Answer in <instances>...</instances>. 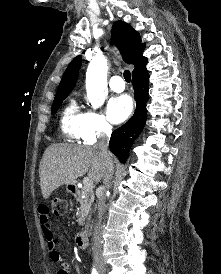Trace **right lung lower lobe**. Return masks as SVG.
Returning a JSON list of instances; mask_svg holds the SVG:
<instances>
[{"mask_svg": "<svg viewBox=\"0 0 221 274\" xmlns=\"http://www.w3.org/2000/svg\"><path fill=\"white\" fill-rule=\"evenodd\" d=\"M132 84L137 103L136 111L126 124L112 133L109 142L110 150L119 157L122 163L126 162L129 155L128 149L145 126L146 102L149 89V74L147 70L133 76Z\"/></svg>", "mask_w": 221, "mask_h": 274, "instance_id": "1", "label": "right lung lower lobe"}]
</instances>
